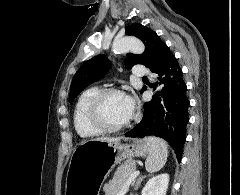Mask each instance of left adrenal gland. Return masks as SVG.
Here are the masks:
<instances>
[{"mask_svg": "<svg viewBox=\"0 0 240 195\" xmlns=\"http://www.w3.org/2000/svg\"><path fill=\"white\" fill-rule=\"evenodd\" d=\"M149 175H151V173H149ZM144 177H147V175H138L136 181H135V185H134V189H138L142 179H144Z\"/></svg>", "mask_w": 240, "mask_h": 195, "instance_id": "a2214340", "label": "left adrenal gland"}]
</instances>
